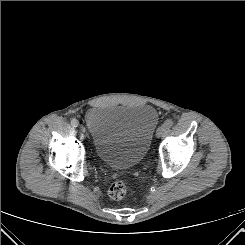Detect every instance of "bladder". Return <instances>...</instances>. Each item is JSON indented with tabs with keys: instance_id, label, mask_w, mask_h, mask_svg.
Returning <instances> with one entry per match:
<instances>
[{
	"instance_id": "bladder-1",
	"label": "bladder",
	"mask_w": 245,
	"mask_h": 245,
	"mask_svg": "<svg viewBox=\"0 0 245 245\" xmlns=\"http://www.w3.org/2000/svg\"><path fill=\"white\" fill-rule=\"evenodd\" d=\"M97 158L113 169H126L145 157L158 124V113L148 104L100 105L85 114Z\"/></svg>"
}]
</instances>
